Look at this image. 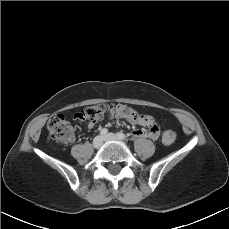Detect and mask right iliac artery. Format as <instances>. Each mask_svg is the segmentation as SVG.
I'll list each match as a JSON object with an SVG mask.
<instances>
[{
  "label": "right iliac artery",
  "mask_w": 229,
  "mask_h": 229,
  "mask_svg": "<svg viewBox=\"0 0 229 229\" xmlns=\"http://www.w3.org/2000/svg\"><path fill=\"white\" fill-rule=\"evenodd\" d=\"M108 133V130L106 128H103L101 131H100V134L105 136L106 134Z\"/></svg>",
  "instance_id": "right-iliac-artery-1"
}]
</instances>
